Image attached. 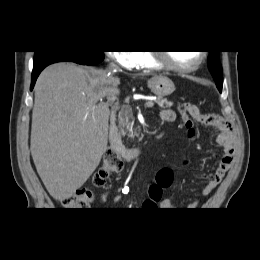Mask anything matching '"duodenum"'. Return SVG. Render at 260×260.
Wrapping results in <instances>:
<instances>
[{
  "label": "duodenum",
  "instance_id": "duodenum-1",
  "mask_svg": "<svg viewBox=\"0 0 260 260\" xmlns=\"http://www.w3.org/2000/svg\"><path fill=\"white\" fill-rule=\"evenodd\" d=\"M109 139L110 149L125 161H132L143 153L141 147H127L120 141L113 119H111L109 128Z\"/></svg>",
  "mask_w": 260,
  "mask_h": 260
}]
</instances>
